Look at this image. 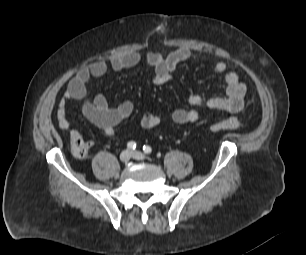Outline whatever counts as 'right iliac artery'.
<instances>
[{
	"instance_id": "82829eb1",
	"label": "right iliac artery",
	"mask_w": 306,
	"mask_h": 255,
	"mask_svg": "<svg viewBox=\"0 0 306 255\" xmlns=\"http://www.w3.org/2000/svg\"><path fill=\"white\" fill-rule=\"evenodd\" d=\"M136 142H134V141H130V142H128V144H127V148L128 149H130V150H135L136 149Z\"/></svg>"
}]
</instances>
